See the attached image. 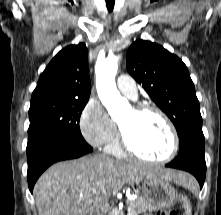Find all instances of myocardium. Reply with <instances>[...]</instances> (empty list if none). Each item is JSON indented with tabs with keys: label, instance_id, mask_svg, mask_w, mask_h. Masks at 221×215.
I'll return each mask as SVG.
<instances>
[{
	"label": "myocardium",
	"instance_id": "1",
	"mask_svg": "<svg viewBox=\"0 0 221 215\" xmlns=\"http://www.w3.org/2000/svg\"><path fill=\"white\" fill-rule=\"evenodd\" d=\"M132 110L137 114H143V113H149V112L157 114L162 119V121L164 122V124L166 125V127L170 133L171 140H172V146H171L170 152L164 158L152 159V158L146 157V156L140 154L139 152H137L132 147L123 128L121 127L120 124H118L120 146H121L123 152L133 158L139 159L144 162L153 163V164H165V163H168L171 160H173L179 150V136H178V133H177V130H176L174 124L172 123L170 118L166 115V113L163 110H161L160 108H158L154 105H148V104L137 105Z\"/></svg>",
	"mask_w": 221,
	"mask_h": 215
}]
</instances>
